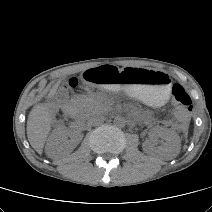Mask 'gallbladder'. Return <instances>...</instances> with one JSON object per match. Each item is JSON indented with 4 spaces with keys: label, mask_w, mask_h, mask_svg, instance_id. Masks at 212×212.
<instances>
[{
    "label": "gallbladder",
    "mask_w": 212,
    "mask_h": 212,
    "mask_svg": "<svg viewBox=\"0 0 212 212\" xmlns=\"http://www.w3.org/2000/svg\"><path fill=\"white\" fill-rule=\"evenodd\" d=\"M68 98V91L64 88H59L55 94V99L58 102H63Z\"/></svg>",
    "instance_id": "bac80fb5"
}]
</instances>
